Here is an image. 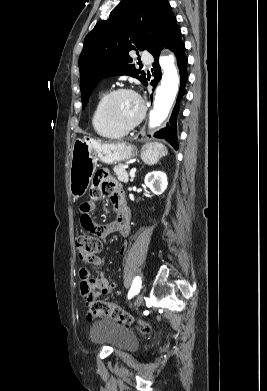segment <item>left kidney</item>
<instances>
[{
    "instance_id": "left-kidney-1",
    "label": "left kidney",
    "mask_w": 267,
    "mask_h": 391,
    "mask_svg": "<svg viewBox=\"0 0 267 391\" xmlns=\"http://www.w3.org/2000/svg\"><path fill=\"white\" fill-rule=\"evenodd\" d=\"M144 183L156 195L162 194L168 185L167 176L161 171L148 173L145 176Z\"/></svg>"
}]
</instances>
